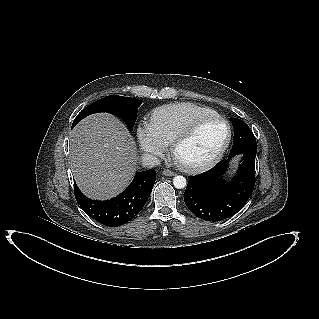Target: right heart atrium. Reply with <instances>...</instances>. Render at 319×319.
<instances>
[{"mask_svg": "<svg viewBox=\"0 0 319 319\" xmlns=\"http://www.w3.org/2000/svg\"><path fill=\"white\" fill-rule=\"evenodd\" d=\"M136 137L141 150L152 160L165 155L168 144L160 138L148 122H140L136 127Z\"/></svg>", "mask_w": 319, "mask_h": 319, "instance_id": "right-heart-atrium-1", "label": "right heart atrium"}]
</instances>
